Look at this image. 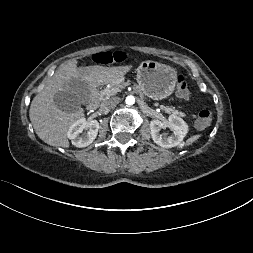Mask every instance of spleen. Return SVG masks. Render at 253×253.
<instances>
[{
  "mask_svg": "<svg viewBox=\"0 0 253 253\" xmlns=\"http://www.w3.org/2000/svg\"><path fill=\"white\" fill-rule=\"evenodd\" d=\"M200 135H195L193 137H191L188 141L187 144H192L193 142H195L197 139H199Z\"/></svg>",
  "mask_w": 253,
  "mask_h": 253,
  "instance_id": "3e777b00",
  "label": "spleen"
}]
</instances>
